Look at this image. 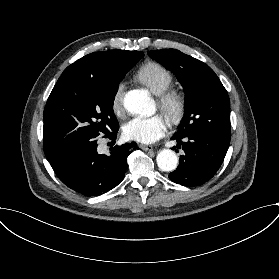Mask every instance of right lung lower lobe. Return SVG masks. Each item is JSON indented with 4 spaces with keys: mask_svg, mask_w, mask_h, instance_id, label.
<instances>
[{
    "mask_svg": "<svg viewBox=\"0 0 279 279\" xmlns=\"http://www.w3.org/2000/svg\"><path fill=\"white\" fill-rule=\"evenodd\" d=\"M118 129L110 134V139H116ZM136 148L135 142L126 143L115 146L110 156L99 155L97 141H94L87 146L67 150L49 162L66 186L92 197L111 190L123 180L129 151Z\"/></svg>",
    "mask_w": 279,
    "mask_h": 279,
    "instance_id": "right-lung-lower-lobe-1",
    "label": "right lung lower lobe"
}]
</instances>
